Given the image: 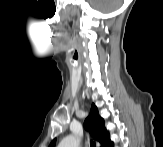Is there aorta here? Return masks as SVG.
<instances>
[{
    "mask_svg": "<svg viewBox=\"0 0 163 147\" xmlns=\"http://www.w3.org/2000/svg\"><path fill=\"white\" fill-rule=\"evenodd\" d=\"M78 145L79 140L73 135L65 137L59 144L60 147H78Z\"/></svg>",
    "mask_w": 163,
    "mask_h": 147,
    "instance_id": "obj_1",
    "label": "aorta"
}]
</instances>
